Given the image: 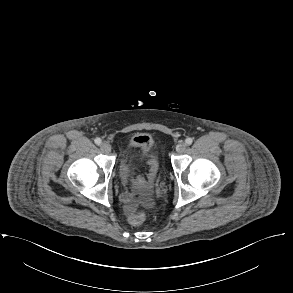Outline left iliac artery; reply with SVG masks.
I'll list each match as a JSON object with an SVG mask.
<instances>
[{
  "mask_svg": "<svg viewBox=\"0 0 293 293\" xmlns=\"http://www.w3.org/2000/svg\"><path fill=\"white\" fill-rule=\"evenodd\" d=\"M185 142H186L187 145H191L192 142H193V139H192V138H187V139L185 140Z\"/></svg>",
  "mask_w": 293,
  "mask_h": 293,
  "instance_id": "left-iliac-artery-1",
  "label": "left iliac artery"
}]
</instances>
